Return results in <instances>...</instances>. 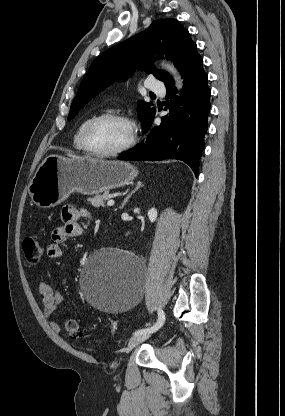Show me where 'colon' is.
Listing matches in <instances>:
<instances>
[{"mask_svg": "<svg viewBox=\"0 0 285 416\" xmlns=\"http://www.w3.org/2000/svg\"><path fill=\"white\" fill-rule=\"evenodd\" d=\"M22 247L25 258L30 264H36L39 262L43 253V249L36 237H26L23 241ZM65 331L71 340H79L82 336L79 323L73 319L66 321Z\"/></svg>", "mask_w": 285, "mask_h": 416, "instance_id": "5ec220e1", "label": "colon"}]
</instances>
